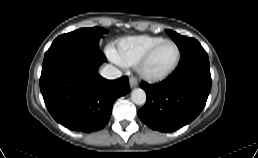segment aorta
Returning <instances> with one entry per match:
<instances>
[{"label":"aorta","mask_w":258,"mask_h":158,"mask_svg":"<svg viewBox=\"0 0 258 158\" xmlns=\"http://www.w3.org/2000/svg\"><path fill=\"white\" fill-rule=\"evenodd\" d=\"M146 93L143 89L141 88H135L131 92V100L136 104V105H144L146 102Z\"/></svg>","instance_id":"obj_1"}]
</instances>
